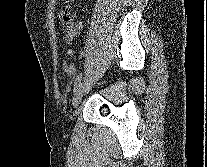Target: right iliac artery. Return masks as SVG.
<instances>
[{
    "instance_id": "right-iliac-artery-1",
    "label": "right iliac artery",
    "mask_w": 207,
    "mask_h": 167,
    "mask_svg": "<svg viewBox=\"0 0 207 167\" xmlns=\"http://www.w3.org/2000/svg\"><path fill=\"white\" fill-rule=\"evenodd\" d=\"M81 80H82V73H80V74L77 76L76 80H75V84H74L73 92L76 91V89L78 88V86H79L80 83H81Z\"/></svg>"
}]
</instances>
